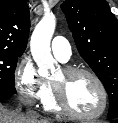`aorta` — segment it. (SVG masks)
<instances>
[{
	"mask_svg": "<svg viewBox=\"0 0 118 123\" xmlns=\"http://www.w3.org/2000/svg\"><path fill=\"white\" fill-rule=\"evenodd\" d=\"M56 26L54 15H45L35 27L31 36L30 48L34 61L38 65L40 76L48 77L55 68L50 42Z\"/></svg>",
	"mask_w": 118,
	"mask_h": 123,
	"instance_id": "aorta-1",
	"label": "aorta"
}]
</instances>
